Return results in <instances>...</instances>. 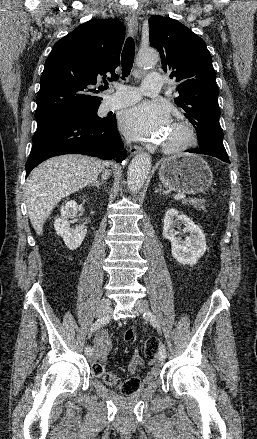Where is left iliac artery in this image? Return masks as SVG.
<instances>
[{"label": "left iliac artery", "instance_id": "left-iliac-artery-1", "mask_svg": "<svg viewBox=\"0 0 257 439\" xmlns=\"http://www.w3.org/2000/svg\"><path fill=\"white\" fill-rule=\"evenodd\" d=\"M144 317L149 318L152 325L160 330L159 322L151 312L144 313ZM159 354L164 358L166 357V349L163 344L159 347Z\"/></svg>", "mask_w": 257, "mask_h": 439}]
</instances>
